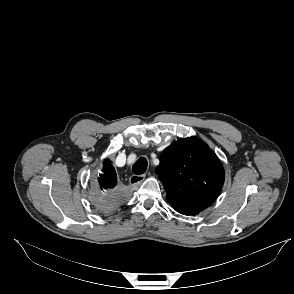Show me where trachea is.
I'll return each instance as SVG.
<instances>
[{
  "label": "trachea",
  "instance_id": "1",
  "mask_svg": "<svg viewBox=\"0 0 294 294\" xmlns=\"http://www.w3.org/2000/svg\"><path fill=\"white\" fill-rule=\"evenodd\" d=\"M148 162L146 158L140 157L132 167V171L136 175H141L147 170Z\"/></svg>",
  "mask_w": 294,
  "mask_h": 294
}]
</instances>
